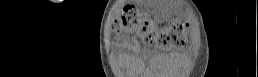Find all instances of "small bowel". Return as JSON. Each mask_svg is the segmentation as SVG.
Here are the masks:
<instances>
[{
    "instance_id": "1",
    "label": "small bowel",
    "mask_w": 258,
    "mask_h": 77,
    "mask_svg": "<svg viewBox=\"0 0 258 77\" xmlns=\"http://www.w3.org/2000/svg\"><path fill=\"white\" fill-rule=\"evenodd\" d=\"M126 47H127L129 50H131L133 53H135V55L127 56V58H128L129 60H131L133 63L137 64V63H138V56H137V54H138V52H139V49H138V46H137L136 42L133 41V40H128V41L126 42Z\"/></svg>"
}]
</instances>
